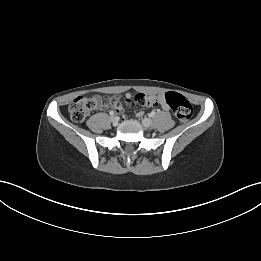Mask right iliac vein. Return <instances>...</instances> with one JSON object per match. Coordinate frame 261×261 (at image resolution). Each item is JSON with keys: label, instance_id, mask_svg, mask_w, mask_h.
<instances>
[{"label": "right iliac vein", "instance_id": "obj_1", "mask_svg": "<svg viewBox=\"0 0 261 261\" xmlns=\"http://www.w3.org/2000/svg\"><path fill=\"white\" fill-rule=\"evenodd\" d=\"M110 121L112 122L113 126H117L118 125V117L116 116H111L110 117Z\"/></svg>", "mask_w": 261, "mask_h": 261}]
</instances>
